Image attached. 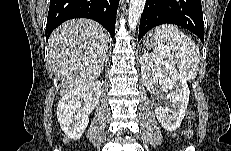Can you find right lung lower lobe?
<instances>
[{
	"label": "right lung lower lobe",
	"mask_w": 231,
	"mask_h": 151,
	"mask_svg": "<svg viewBox=\"0 0 231 151\" xmlns=\"http://www.w3.org/2000/svg\"><path fill=\"white\" fill-rule=\"evenodd\" d=\"M119 0H51L46 24V40L64 21L89 18L100 23L114 37Z\"/></svg>",
	"instance_id": "98d812e1"
}]
</instances>
